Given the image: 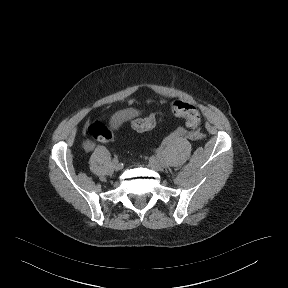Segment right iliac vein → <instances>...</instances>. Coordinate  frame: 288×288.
<instances>
[{
  "label": "right iliac vein",
  "mask_w": 288,
  "mask_h": 288,
  "mask_svg": "<svg viewBox=\"0 0 288 288\" xmlns=\"http://www.w3.org/2000/svg\"><path fill=\"white\" fill-rule=\"evenodd\" d=\"M113 166L116 170H121L123 168V165L118 161H113Z\"/></svg>",
  "instance_id": "right-iliac-vein-1"
}]
</instances>
